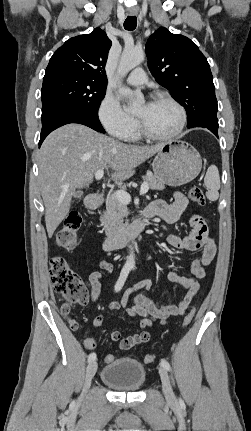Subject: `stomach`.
I'll list each match as a JSON object with an SVG mask.
<instances>
[{
	"mask_svg": "<svg viewBox=\"0 0 251 431\" xmlns=\"http://www.w3.org/2000/svg\"><path fill=\"white\" fill-rule=\"evenodd\" d=\"M154 175L169 186H181L195 179L201 171L200 154L184 141H172L163 145L155 156Z\"/></svg>",
	"mask_w": 251,
	"mask_h": 431,
	"instance_id": "obj_1",
	"label": "stomach"
}]
</instances>
